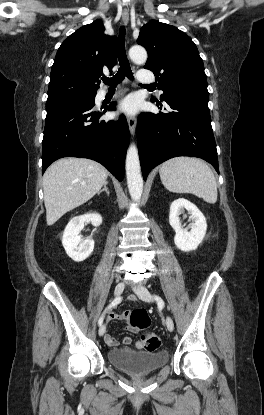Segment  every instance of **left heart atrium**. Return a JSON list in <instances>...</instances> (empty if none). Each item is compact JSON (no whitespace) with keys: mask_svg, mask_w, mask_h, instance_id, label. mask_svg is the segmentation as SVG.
I'll return each instance as SVG.
<instances>
[{"mask_svg":"<svg viewBox=\"0 0 264 415\" xmlns=\"http://www.w3.org/2000/svg\"><path fill=\"white\" fill-rule=\"evenodd\" d=\"M138 99L131 95L126 97L120 104V110L126 114L133 115L138 111Z\"/></svg>","mask_w":264,"mask_h":415,"instance_id":"left-heart-atrium-1","label":"left heart atrium"}]
</instances>
